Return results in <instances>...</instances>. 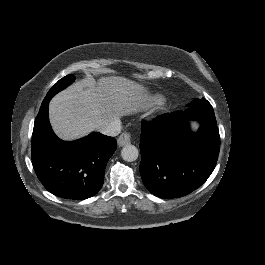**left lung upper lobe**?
<instances>
[{
    "instance_id": "5c2ea615",
    "label": "left lung upper lobe",
    "mask_w": 265,
    "mask_h": 265,
    "mask_svg": "<svg viewBox=\"0 0 265 265\" xmlns=\"http://www.w3.org/2000/svg\"><path fill=\"white\" fill-rule=\"evenodd\" d=\"M202 100H204V99H202ZM202 100H200V99H195V100L192 102V104L197 103V102H200V101H202ZM192 104H191V105H192Z\"/></svg>"
}]
</instances>
